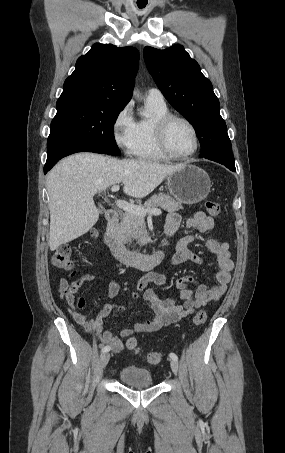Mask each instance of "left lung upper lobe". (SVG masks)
<instances>
[{"mask_svg": "<svg viewBox=\"0 0 285 453\" xmlns=\"http://www.w3.org/2000/svg\"><path fill=\"white\" fill-rule=\"evenodd\" d=\"M146 66L167 101L195 128L201 158L222 154L234 159L227 127L213 87L199 64L181 45L166 50L144 48Z\"/></svg>", "mask_w": 285, "mask_h": 453, "instance_id": "left-lung-upper-lobe-1", "label": "left lung upper lobe"}]
</instances>
